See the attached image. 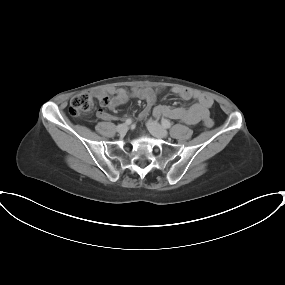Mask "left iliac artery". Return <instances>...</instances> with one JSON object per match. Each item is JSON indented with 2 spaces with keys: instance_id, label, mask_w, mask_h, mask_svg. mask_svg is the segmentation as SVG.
<instances>
[{
  "instance_id": "1",
  "label": "left iliac artery",
  "mask_w": 285,
  "mask_h": 285,
  "mask_svg": "<svg viewBox=\"0 0 285 285\" xmlns=\"http://www.w3.org/2000/svg\"><path fill=\"white\" fill-rule=\"evenodd\" d=\"M161 123H162V126H163L164 128H167V129L171 128V123H170L169 120H167V119H162V120H161Z\"/></svg>"
}]
</instances>
